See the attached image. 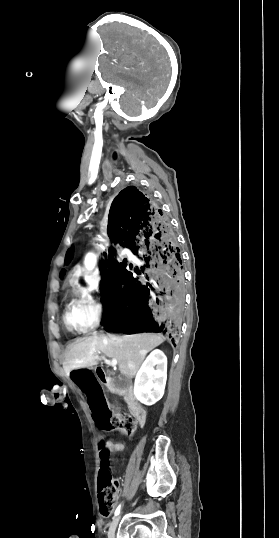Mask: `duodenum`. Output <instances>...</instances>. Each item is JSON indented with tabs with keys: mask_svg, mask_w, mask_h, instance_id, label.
Returning a JSON list of instances; mask_svg holds the SVG:
<instances>
[{
	"mask_svg": "<svg viewBox=\"0 0 279 538\" xmlns=\"http://www.w3.org/2000/svg\"><path fill=\"white\" fill-rule=\"evenodd\" d=\"M93 376L95 380H99V383L105 388L113 387L112 376L109 373L107 366L99 364L96 366ZM133 387L128 385L124 391V398L128 400L126 409L128 413L132 414V417L135 419V422L138 424V428H143V424L147 422L145 418V411L141 409L139 402H136V399L131 394Z\"/></svg>",
	"mask_w": 279,
	"mask_h": 538,
	"instance_id": "obj_1",
	"label": "duodenum"
}]
</instances>
